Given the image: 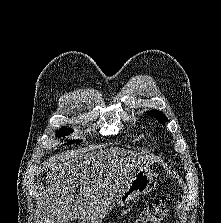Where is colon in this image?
Instances as JSON below:
<instances>
[{"mask_svg": "<svg viewBox=\"0 0 221 223\" xmlns=\"http://www.w3.org/2000/svg\"><path fill=\"white\" fill-rule=\"evenodd\" d=\"M166 214V204L162 200H155L141 212L133 223H160Z\"/></svg>", "mask_w": 221, "mask_h": 223, "instance_id": "1", "label": "colon"}]
</instances>
